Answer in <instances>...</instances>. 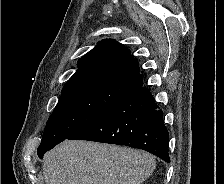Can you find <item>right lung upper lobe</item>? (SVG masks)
Wrapping results in <instances>:
<instances>
[{
	"mask_svg": "<svg viewBox=\"0 0 224 184\" xmlns=\"http://www.w3.org/2000/svg\"><path fill=\"white\" fill-rule=\"evenodd\" d=\"M88 82H109L131 89L143 85L139 63L121 43L104 39L78 62V70L62 91Z\"/></svg>",
	"mask_w": 224,
	"mask_h": 184,
	"instance_id": "obj_1",
	"label": "right lung upper lobe"
}]
</instances>
